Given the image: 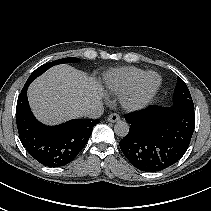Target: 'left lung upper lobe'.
Returning <instances> with one entry per match:
<instances>
[{"label": "left lung upper lobe", "instance_id": "left-lung-upper-lobe-1", "mask_svg": "<svg viewBox=\"0 0 211 211\" xmlns=\"http://www.w3.org/2000/svg\"><path fill=\"white\" fill-rule=\"evenodd\" d=\"M173 103L174 105H183L194 109V104L189 89L180 77H177V85L173 94Z\"/></svg>", "mask_w": 211, "mask_h": 211}]
</instances>
